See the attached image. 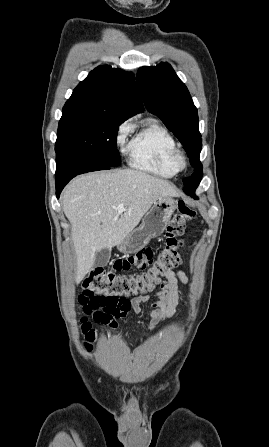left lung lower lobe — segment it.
<instances>
[{"mask_svg":"<svg viewBox=\"0 0 269 447\" xmlns=\"http://www.w3.org/2000/svg\"><path fill=\"white\" fill-rule=\"evenodd\" d=\"M194 191H195V190L189 192V195L194 196Z\"/></svg>","mask_w":269,"mask_h":447,"instance_id":"1","label":"left lung lower lobe"}]
</instances>
